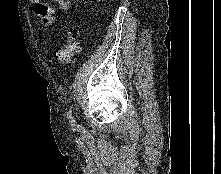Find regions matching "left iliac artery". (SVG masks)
<instances>
[{
  "label": "left iliac artery",
  "mask_w": 221,
  "mask_h": 174,
  "mask_svg": "<svg viewBox=\"0 0 221 174\" xmlns=\"http://www.w3.org/2000/svg\"><path fill=\"white\" fill-rule=\"evenodd\" d=\"M67 118L70 120L71 124L75 125V120L72 116V108H70L67 112Z\"/></svg>",
  "instance_id": "1"
}]
</instances>
